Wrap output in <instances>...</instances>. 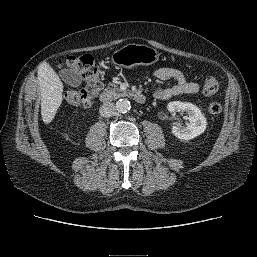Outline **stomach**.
<instances>
[{
    "label": "stomach",
    "mask_w": 257,
    "mask_h": 257,
    "mask_svg": "<svg viewBox=\"0 0 257 257\" xmlns=\"http://www.w3.org/2000/svg\"><path fill=\"white\" fill-rule=\"evenodd\" d=\"M159 59L158 52L147 45L128 44L115 51L111 56L113 64L125 68L137 65H152Z\"/></svg>",
    "instance_id": "1"
}]
</instances>
